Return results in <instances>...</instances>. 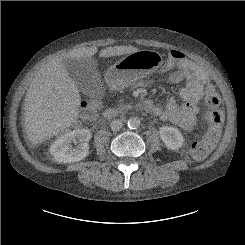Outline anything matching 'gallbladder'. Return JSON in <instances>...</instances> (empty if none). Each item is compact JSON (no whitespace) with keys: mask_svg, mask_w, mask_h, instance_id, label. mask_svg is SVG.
Wrapping results in <instances>:
<instances>
[{"mask_svg":"<svg viewBox=\"0 0 245 245\" xmlns=\"http://www.w3.org/2000/svg\"><path fill=\"white\" fill-rule=\"evenodd\" d=\"M65 67L71 79L84 94H100L102 81L98 70L87 59H72L65 62Z\"/></svg>","mask_w":245,"mask_h":245,"instance_id":"bac80fb5","label":"gallbladder"}]
</instances>
